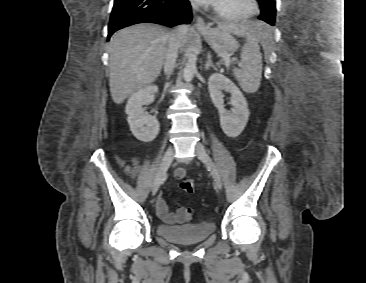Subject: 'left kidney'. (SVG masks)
<instances>
[{
  "label": "left kidney",
  "mask_w": 366,
  "mask_h": 283,
  "mask_svg": "<svg viewBox=\"0 0 366 283\" xmlns=\"http://www.w3.org/2000/svg\"><path fill=\"white\" fill-rule=\"evenodd\" d=\"M208 88L212 102L218 109L220 126L223 132L228 137L235 138L239 136L243 132L250 115L244 95L235 83L219 73H214L209 77ZM223 90L231 94L233 108L230 111L225 109Z\"/></svg>",
  "instance_id": "1"
}]
</instances>
